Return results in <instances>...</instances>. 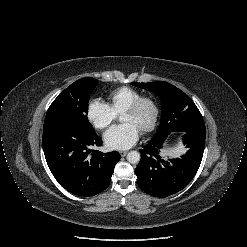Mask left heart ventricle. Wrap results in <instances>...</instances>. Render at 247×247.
<instances>
[{"mask_svg":"<svg viewBox=\"0 0 247 247\" xmlns=\"http://www.w3.org/2000/svg\"><path fill=\"white\" fill-rule=\"evenodd\" d=\"M152 116V105L150 103H145L137 112H123L121 121L124 123H133L141 130L150 122Z\"/></svg>","mask_w":247,"mask_h":247,"instance_id":"1","label":"left heart ventricle"}]
</instances>
